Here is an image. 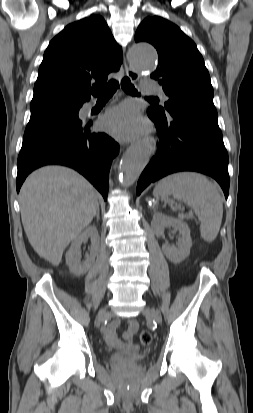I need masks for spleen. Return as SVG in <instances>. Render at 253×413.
I'll list each match as a JSON object with an SVG mask.
<instances>
[{
  "label": "spleen",
  "mask_w": 253,
  "mask_h": 413,
  "mask_svg": "<svg viewBox=\"0 0 253 413\" xmlns=\"http://www.w3.org/2000/svg\"><path fill=\"white\" fill-rule=\"evenodd\" d=\"M153 194L156 198L172 195L186 203L200 220L202 239L215 240L222 222L223 202L217 186L204 175L195 172L171 174L158 182Z\"/></svg>",
  "instance_id": "3e777b00"
}]
</instances>
